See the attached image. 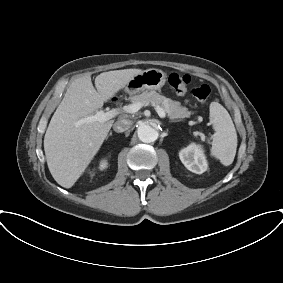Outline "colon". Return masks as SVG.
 <instances>
[{"label": "colon", "instance_id": "colon-1", "mask_svg": "<svg viewBox=\"0 0 283 283\" xmlns=\"http://www.w3.org/2000/svg\"><path fill=\"white\" fill-rule=\"evenodd\" d=\"M169 85L178 93L191 92L198 101L205 102L211 95V88L207 84H196L191 87V77L189 75L171 73L168 77Z\"/></svg>", "mask_w": 283, "mask_h": 283}]
</instances>
